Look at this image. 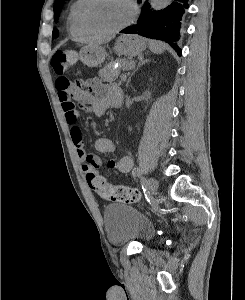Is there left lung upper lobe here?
Segmentation results:
<instances>
[{"mask_svg": "<svg viewBox=\"0 0 245 300\" xmlns=\"http://www.w3.org/2000/svg\"><path fill=\"white\" fill-rule=\"evenodd\" d=\"M66 0H55L54 3V20L57 21L60 15V11L62 9V6L64 5ZM58 36V30L54 29L53 30V37Z\"/></svg>", "mask_w": 245, "mask_h": 300, "instance_id": "obj_1", "label": "left lung upper lobe"}]
</instances>
